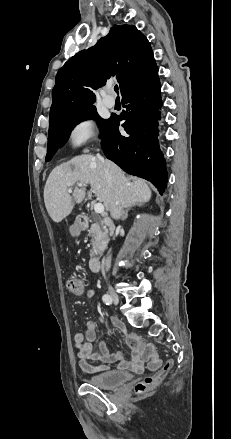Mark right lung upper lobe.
Listing matches in <instances>:
<instances>
[{
    "label": "right lung upper lobe",
    "mask_w": 231,
    "mask_h": 439,
    "mask_svg": "<svg viewBox=\"0 0 231 439\" xmlns=\"http://www.w3.org/2000/svg\"><path fill=\"white\" fill-rule=\"evenodd\" d=\"M158 73L147 38L135 27L114 25L94 47L78 52L56 75L49 126L93 108L97 89L111 76L122 96Z\"/></svg>",
    "instance_id": "right-lung-upper-lobe-1"
}]
</instances>
